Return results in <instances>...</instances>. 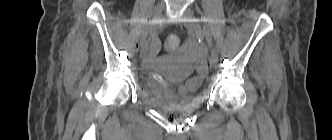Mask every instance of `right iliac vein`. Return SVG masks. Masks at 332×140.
I'll return each instance as SVG.
<instances>
[{"label":"right iliac vein","mask_w":332,"mask_h":140,"mask_svg":"<svg viewBox=\"0 0 332 140\" xmlns=\"http://www.w3.org/2000/svg\"><path fill=\"white\" fill-rule=\"evenodd\" d=\"M164 9H165V3L163 1L158 2L155 7V10H154L153 19H152L149 27L142 34L141 39H140V47H141L142 52L146 48L148 37H152L154 35L157 24L159 23V21L162 18Z\"/></svg>","instance_id":"1"}]
</instances>
